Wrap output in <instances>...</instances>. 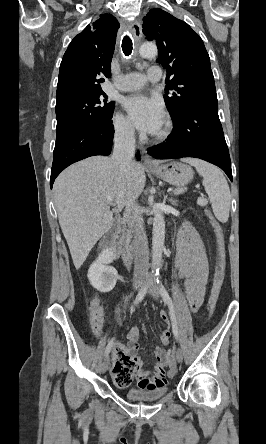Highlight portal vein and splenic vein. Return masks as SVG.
Wrapping results in <instances>:
<instances>
[{"label":"portal vein and splenic vein","mask_w":266,"mask_h":444,"mask_svg":"<svg viewBox=\"0 0 266 444\" xmlns=\"http://www.w3.org/2000/svg\"><path fill=\"white\" fill-rule=\"evenodd\" d=\"M173 190L172 189H168V192H172ZM106 201L108 202V203H112L113 201H114V199H113V197H111V196H107L106 197Z\"/></svg>","instance_id":"18ae733b"}]
</instances>
